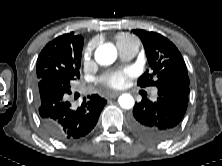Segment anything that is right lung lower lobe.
<instances>
[{"mask_svg":"<svg viewBox=\"0 0 222 166\" xmlns=\"http://www.w3.org/2000/svg\"><path fill=\"white\" fill-rule=\"evenodd\" d=\"M69 94L70 82L61 76L51 75L38 80L35 96L41 123L46 132L59 141H71L87 135L96 125L107 102L97 94L91 95L74 109L67 101Z\"/></svg>","mask_w":222,"mask_h":166,"instance_id":"1","label":"right lung lower lobe"}]
</instances>
